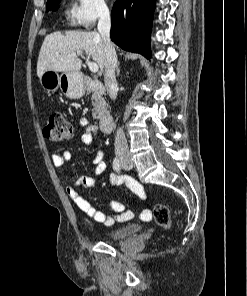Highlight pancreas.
<instances>
[{
	"instance_id": "obj_1",
	"label": "pancreas",
	"mask_w": 247,
	"mask_h": 296,
	"mask_svg": "<svg viewBox=\"0 0 247 296\" xmlns=\"http://www.w3.org/2000/svg\"><path fill=\"white\" fill-rule=\"evenodd\" d=\"M92 117L93 119H99L107 111L104 98L98 95H92Z\"/></svg>"
}]
</instances>
